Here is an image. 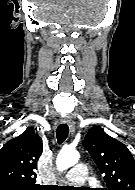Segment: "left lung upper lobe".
Returning a JSON list of instances; mask_svg holds the SVG:
<instances>
[{
    "label": "left lung upper lobe",
    "instance_id": "5c2ea615",
    "mask_svg": "<svg viewBox=\"0 0 135 190\" xmlns=\"http://www.w3.org/2000/svg\"><path fill=\"white\" fill-rule=\"evenodd\" d=\"M84 148L104 174V190H135V160L129 149L99 126L89 130Z\"/></svg>",
    "mask_w": 135,
    "mask_h": 190
}]
</instances>
